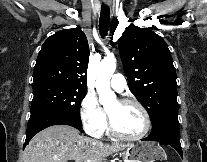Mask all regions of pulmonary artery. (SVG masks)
Here are the masks:
<instances>
[{
	"mask_svg": "<svg viewBox=\"0 0 207 162\" xmlns=\"http://www.w3.org/2000/svg\"><path fill=\"white\" fill-rule=\"evenodd\" d=\"M111 88L117 93H123L126 87V80L121 74H114L110 81Z\"/></svg>",
	"mask_w": 207,
	"mask_h": 162,
	"instance_id": "pulmonary-artery-1",
	"label": "pulmonary artery"
}]
</instances>
